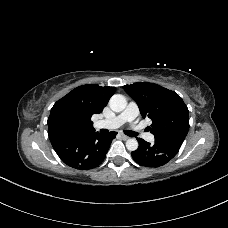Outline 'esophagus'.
I'll return each mask as SVG.
<instances>
[{
    "label": "esophagus",
    "instance_id": "esophagus-1",
    "mask_svg": "<svg viewBox=\"0 0 228 228\" xmlns=\"http://www.w3.org/2000/svg\"><path fill=\"white\" fill-rule=\"evenodd\" d=\"M121 138H122L123 140H128V139H129V137L126 136V135H124V134H121Z\"/></svg>",
    "mask_w": 228,
    "mask_h": 228
}]
</instances>
